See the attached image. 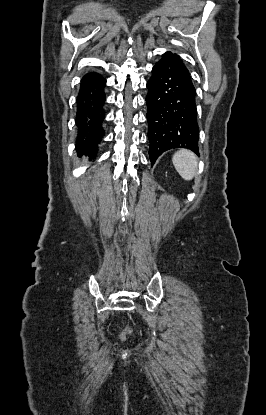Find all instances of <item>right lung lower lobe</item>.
Returning <instances> with one entry per match:
<instances>
[{"label": "right lung lower lobe", "mask_w": 266, "mask_h": 415, "mask_svg": "<svg viewBox=\"0 0 266 415\" xmlns=\"http://www.w3.org/2000/svg\"><path fill=\"white\" fill-rule=\"evenodd\" d=\"M106 80L94 72L83 76L77 96L76 149L95 157L98 144L104 136L102 124L105 118Z\"/></svg>", "instance_id": "obj_1"}]
</instances>
